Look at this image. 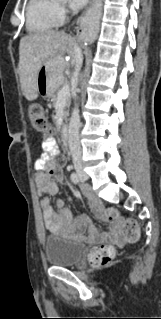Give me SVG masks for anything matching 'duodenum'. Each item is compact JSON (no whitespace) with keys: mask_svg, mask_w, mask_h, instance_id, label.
<instances>
[{"mask_svg":"<svg viewBox=\"0 0 161 319\" xmlns=\"http://www.w3.org/2000/svg\"><path fill=\"white\" fill-rule=\"evenodd\" d=\"M69 130H70V126L68 123H64L62 126H61V132H60V135H61V140L66 143L69 139Z\"/></svg>","mask_w":161,"mask_h":319,"instance_id":"obj_1","label":"duodenum"}]
</instances>
